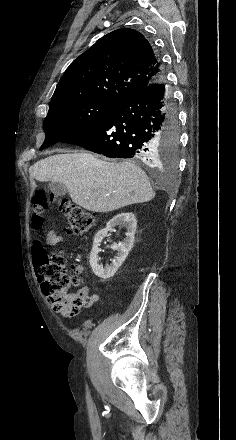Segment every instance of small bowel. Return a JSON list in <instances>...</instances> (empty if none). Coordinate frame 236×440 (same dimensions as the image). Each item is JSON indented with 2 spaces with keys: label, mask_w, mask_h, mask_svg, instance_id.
Returning a JSON list of instances; mask_svg holds the SVG:
<instances>
[{
  "label": "small bowel",
  "mask_w": 236,
  "mask_h": 440,
  "mask_svg": "<svg viewBox=\"0 0 236 440\" xmlns=\"http://www.w3.org/2000/svg\"><path fill=\"white\" fill-rule=\"evenodd\" d=\"M61 242H63V237L58 235L54 231H49L46 234L45 244L47 246H55V245H57V244H59ZM41 253H42L41 246L35 245L32 248V259H33V263H34L35 266H36L38 260L41 257ZM76 270L78 272H81L82 271V267L81 266H77ZM73 296L76 297V298H80L81 299L82 304H81L80 308H90L91 306H93L99 300V294L97 292H91L89 287H87V286H83L82 288H80L77 292H75L73 294ZM51 306L55 310L60 312L53 304H51Z\"/></svg>",
  "instance_id": "obj_1"
}]
</instances>
